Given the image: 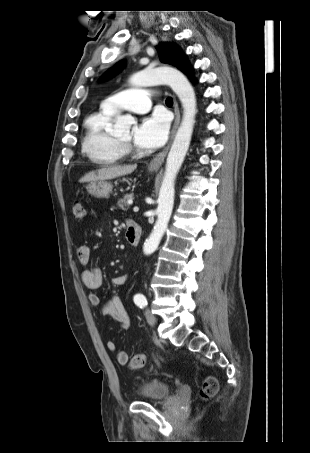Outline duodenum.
I'll use <instances>...</instances> for the list:
<instances>
[{"label":"duodenum","instance_id":"duodenum-1","mask_svg":"<svg viewBox=\"0 0 310 453\" xmlns=\"http://www.w3.org/2000/svg\"><path fill=\"white\" fill-rule=\"evenodd\" d=\"M126 238L129 244L137 246L141 238V227L135 222H130L127 226Z\"/></svg>","mask_w":310,"mask_h":453}]
</instances>
